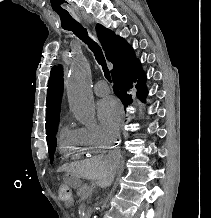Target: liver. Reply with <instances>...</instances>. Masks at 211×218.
I'll use <instances>...</instances> for the list:
<instances>
[{"mask_svg": "<svg viewBox=\"0 0 211 218\" xmlns=\"http://www.w3.org/2000/svg\"><path fill=\"white\" fill-rule=\"evenodd\" d=\"M118 158L112 160L107 156H95L90 160H85L81 166L83 176H86L88 180H96V184L99 186H105L111 176H114L117 168Z\"/></svg>", "mask_w": 211, "mask_h": 218, "instance_id": "liver-1", "label": "liver"}]
</instances>
